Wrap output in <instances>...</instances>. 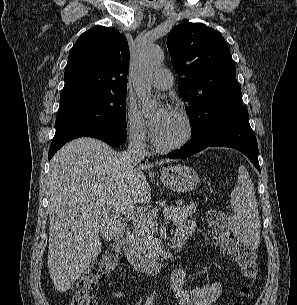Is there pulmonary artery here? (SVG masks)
Instances as JSON below:
<instances>
[{
    "label": "pulmonary artery",
    "instance_id": "obj_1",
    "mask_svg": "<svg viewBox=\"0 0 297 305\" xmlns=\"http://www.w3.org/2000/svg\"><path fill=\"white\" fill-rule=\"evenodd\" d=\"M151 84L155 89L168 90L173 85V75L168 69L161 68L155 73Z\"/></svg>",
    "mask_w": 297,
    "mask_h": 305
}]
</instances>
